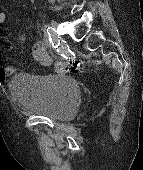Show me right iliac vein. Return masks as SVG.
Wrapping results in <instances>:
<instances>
[{
    "label": "right iliac vein",
    "mask_w": 143,
    "mask_h": 170,
    "mask_svg": "<svg viewBox=\"0 0 143 170\" xmlns=\"http://www.w3.org/2000/svg\"><path fill=\"white\" fill-rule=\"evenodd\" d=\"M50 25H51V26H55V22L50 21Z\"/></svg>",
    "instance_id": "right-iliac-vein-1"
}]
</instances>
